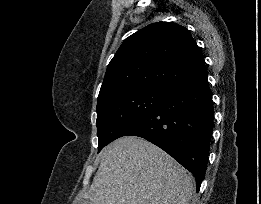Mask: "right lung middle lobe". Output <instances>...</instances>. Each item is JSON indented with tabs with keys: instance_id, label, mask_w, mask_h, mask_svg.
Segmentation results:
<instances>
[{
	"instance_id": "dd1d6c3e",
	"label": "right lung middle lobe",
	"mask_w": 261,
	"mask_h": 204,
	"mask_svg": "<svg viewBox=\"0 0 261 204\" xmlns=\"http://www.w3.org/2000/svg\"><path fill=\"white\" fill-rule=\"evenodd\" d=\"M164 94L163 91L131 89L113 92L98 100V150L119 138L126 129L145 116Z\"/></svg>"
}]
</instances>
